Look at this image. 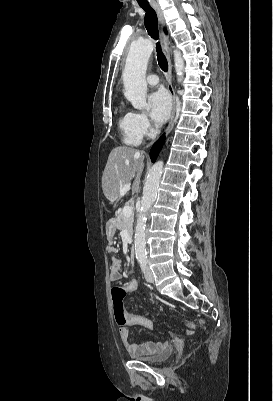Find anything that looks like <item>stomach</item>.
<instances>
[{
  "mask_svg": "<svg viewBox=\"0 0 273 401\" xmlns=\"http://www.w3.org/2000/svg\"><path fill=\"white\" fill-rule=\"evenodd\" d=\"M115 233H116V227H115V223L112 219V221H108V223L106 225L107 239H112V237H114Z\"/></svg>",
  "mask_w": 273,
  "mask_h": 401,
  "instance_id": "1",
  "label": "stomach"
}]
</instances>
